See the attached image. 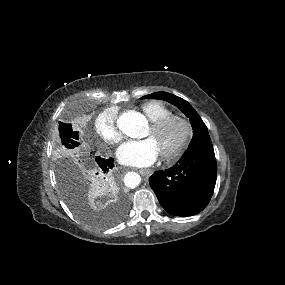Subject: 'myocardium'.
I'll return each mask as SVG.
<instances>
[{
  "mask_svg": "<svg viewBox=\"0 0 285 285\" xmlns=\"http://www.w3.org/2000/svg\"><path fill=\"white\" fill-rule=\"evenodd\" d=\"M173 124H179L182 133L174 147L164 150L161 153L163 159L168 162L177 160L187 149L193 136L192 124L185 115L179 113H170L163 118L151 121L150 124V127L155 133H163Z\"/></svg>",
  "mask_w": 285,
  "mask_h": 285,
  "instance_id": "obj_1",
  "label": "myocardium"
}]
</instances>
